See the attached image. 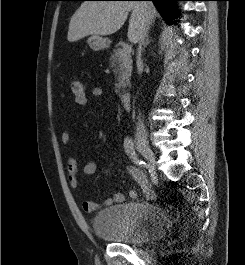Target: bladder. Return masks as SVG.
Listing matches in <instances>:
<instances>
[{
	"mask_svg": "<svg viewBox=\"0 0 245 265\" xmlns=\"http://www.w3.org/2000/svg\"><path fill=\"white\" fill-rule=\"evenodd\" d=\"M95 234L113 243L138 245L163 237L169 230L165 211L149 202L120 203L98 211Z\"/></svg>",
	"mask_w": 245,
	"mask_h": 265,
	"instance_id": "obj_1",
	"label": "bladder"
}]
</instances>
